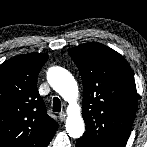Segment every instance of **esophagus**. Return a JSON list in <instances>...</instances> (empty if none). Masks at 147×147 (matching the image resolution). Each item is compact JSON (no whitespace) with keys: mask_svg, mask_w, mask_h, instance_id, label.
Segmentation results:
<instances>
[{"mask_svg":"<svg viewBox=\"0 0 147 147\" xmlns=\"http://www.w3.org/2000/svg\"><path fill=\"white\" fill-rule=\"evenodd\" d=\"M65 118H66V113H65L64 111L60 112V113H59V119H60L61 121H64Z\"/></svg>","mask_w":147,"mask_h":147,"instance_id":"34e87169","label":"esophagus"}]
</instances>
